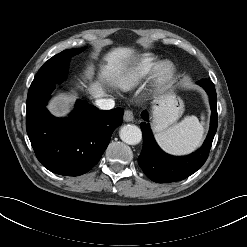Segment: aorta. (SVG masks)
I'll return each instance as SVG.
<instances>
[{"instance_id": "aorta-1", "label": "aorta", "mask_w": 247, "mask_h": 247, "mask_svg": "<svg viewBox=\"0 0 247 247\" xmlns=\"http://www.w3.org/2000/svg\"><path fill=\"white\" fill-rule=\"evenodd\" d=\"M119 136L123 142L129 145H136L142 140V132L136 125H124L120 131Z\"/></svg>"}]
</instances>
